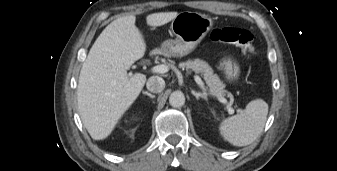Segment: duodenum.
Instances as JSON below:
<instances>
[{
	"label": "duodenum",
	"instance_id": "1",
	"mask_svg": "<svg viewBox=\"0 0 337 171\" xmlns=\"http://www.w3.org/2000/svg\"><path fill=\"white\" fill-rule=\"evenodd\" d=\"M156 53H157V51H154V52H153V54H156Z\"/></svg>",
	"mask_w": 337,
	"mask_h": 171
}]
</instances>
